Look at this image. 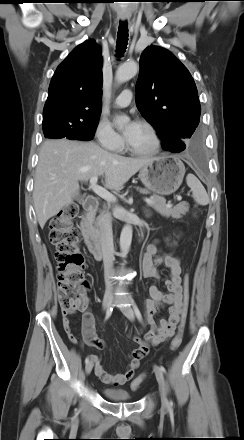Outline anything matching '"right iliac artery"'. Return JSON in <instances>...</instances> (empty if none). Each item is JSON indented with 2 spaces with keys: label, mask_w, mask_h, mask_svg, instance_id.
<instances>
[{
  "label": "right iliac artery",
  "mask_w": 244,
  "mask_h": 440,
  "mask_svg": "<svg viewBox=\"0 0 244 440\" xmlns=\"http://www.w3.org/2000/svg\"><path fill=\"white\" fill-rule=\"evenodd\" d=\"M112 311H113V307H109V308L107 309L106 316H105V321L111 316ZM85 363H86V364L89 363V358H88V357H86V359H85Z\"/></svg>",
  "instance_id": "obj_1"
}]
</instances>
